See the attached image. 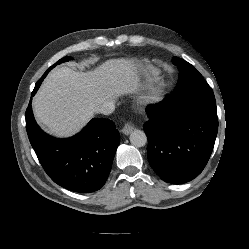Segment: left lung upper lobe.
Segmentation results:
<instances>
[{"label": "left lung upper lobe", "mask_w": 249, "mask_h": 249, "mask_svg": "<svg viewBox=\"0 0 249 249\" xmlns=\"http://www.w3.org/2000/svg\"><path fill=\"white\" fill-rule=\"evenodd\" d=\"M172 62L178 66L180 72L177 86L172 94L178 104L194 100L215 101L211 87L193 65L178 57H173Z\"/></svg>", "instance_id": "1"}]
</instances>
